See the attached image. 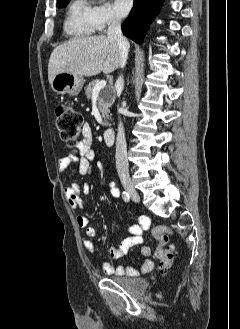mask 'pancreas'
I'll list each match as a JSON object with an SVG mask.
<instances>
[{
    "instance_id": "obj_1",
    "label": "pancreas",
    "mask_w": 240,
    "mask_h": 329,
    "mask_svg": "<svg viewBox=\"0 0 240 329\" xmlns=\"http://www.w3.org/2000/svg\"><path fill=\"white\" fill-rule=\"evenodd\" d=\"M98 81H92L86 88H85V94L87 96V99L90 100L92 98V93H93V88L95 86V84ZM108 94V90L104 89L101 91L98 99H97V104L99 107V110L101 112L102 118L104 119L103 125L104 126H108L109 125V108L112 106L113 104V97L107 95Z\"/></svg>"
}]
</instances>
